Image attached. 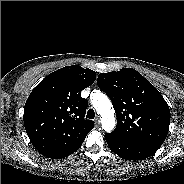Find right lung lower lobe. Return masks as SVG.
<instances>
[{"label":"right lung lower lobe","mask_w":184,"mask_h":184,"mask_svg":"<svg viewBox=\"0 0 184 184\" xmlns=\"http://www.w3.org/2000/svg\"><path fill=\"white\" fill-rule=\"evenodd\" d=\"M81 146V145H80ZM79 146V147H80ZM79 147H76L74 149H70V150H66V151H62V152H57V153H53L49 156H46L48 158H51V159H61V158H64L66 156H69L71 155L72 153H74L77 149H79Z\"/></svg>","instance_id":"1"}]
</instances>
